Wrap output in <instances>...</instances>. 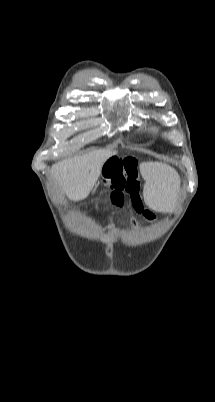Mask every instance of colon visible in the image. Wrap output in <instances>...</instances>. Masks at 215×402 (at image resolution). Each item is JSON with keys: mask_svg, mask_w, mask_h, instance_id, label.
I'll return each mask as SVG.
<instances>
[{"mask_svg": "<svg viewBox=\"0 0 215 402\" xmlns=\"http://www.w3.org/2000/svg\"><path fill=\"white\" fill-rule=\"evenodd\" d=\"M101 177L106 179L110 200L115 206H121L124 193L130 195L134 208L147 218L154 214L143 207L140 194L141 182L137 160L132 156H109L102 167Z\"/></svg>", "mask_w": 215, "mask_h": 402, "instance_id": "colon-1", "label": "colon"}]
</instances>
